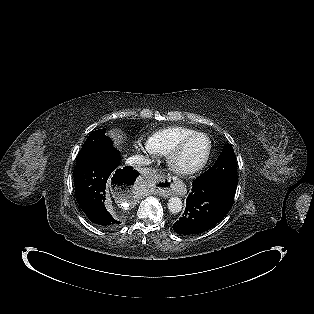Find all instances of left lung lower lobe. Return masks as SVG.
I'll return each mask as SVG.
<instances>
[{
	"mask_svg": "<svg viewBox=\"0 0 314 314\" xmlns=\"http://www.w3.org/2000/svg\"><path fill=\"white\" fill-rule=\"evenodd\" d=\"M238 179L196 178L186 199L184 214L173 224L179 235H193L211 229L231 209Z\"/></svg>",
	"mask_w": 314,
	"mask_h": 314,
	"instance_id": "left-lung-lower-lobe-1",
	"label": "left lung lower lobe"
}]
</instances>
